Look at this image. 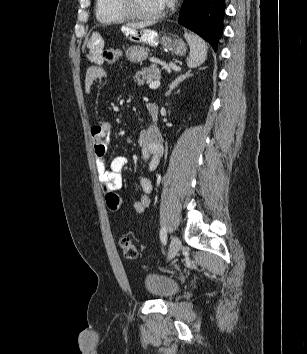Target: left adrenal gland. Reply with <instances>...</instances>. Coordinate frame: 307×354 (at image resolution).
Instances as JSON below:
<instances>
[{
    "label": "left adrenal gland",
    "instance_id": "left-adrenal-gland-1",
    "mask_svg": "<svg viewBox=\"0 0 307 354\" xmlns=\"http://www.w3.org/2000/svg\"><path fill=\"white\" fill-rule=\"evenodd\" d=\"M191 70L187 71L185 74L180 75L178 77H176L171 84L169 85L167 92L165 95H170L172 90L175 89L182 81H184L186 78L191 77Z\"/></svg>",
    "mask_w": 307,
    "mask_h": 354
}]
</instances>
